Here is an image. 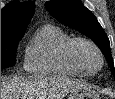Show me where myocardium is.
<instances>
[{"mask_svg": "<svg viewBox=\"0 0 115 99\" xmlns=\"http://www.w3.org/2000/svg\"><path fill=\"white\" fill-rule=\"evenodd\" d=\"M80 43H84V44H87V45L91 46L96 51V53L98 54L99 59H100V65H99L97 70H95L93 72H89L78 62L75 50H76V46ZM65 56H66V59L69 62V64L77 72H79L81 75H84V76L96 75L98 72L101 71V69L103 68V65H104V56H103L102 51L98 47V45L95 42H93L92 40H90L88 38H84V37H74V38H72L67 43V45L65 47Z\"/></svg>", "mask_w": 115, "mask_h": 99, "instance_id": "obj_1", "label": "myocardium"}]
</instances>
